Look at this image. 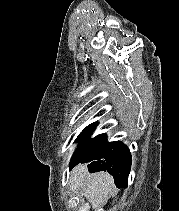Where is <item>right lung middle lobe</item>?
<instances>
[{
  "instance_id": "obj_1",
  "label": "right lung middle lobe",
  "mask_w": 179,
  "mask_h": 211,
  "mask_svg": "<svg viewBox=\"0 0 179 211\" xmlns=\"http://www.w3.org/2000/svg\"><path fill=\"white\" fill-rule=\"evenodd\" d=\"M97 123H92L87 126L77 137L75 142H79V147L74 152L71 163L74 164L90 154L94 153L100 149L107 141L105 134H100L95 138L90 139L91 134L93 133Z\"/></svg>"
}]
</instances>
